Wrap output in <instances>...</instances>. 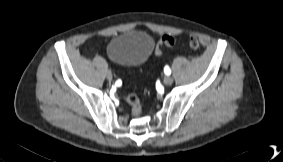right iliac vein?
<instances>
[{"label": "right iliac vein", "mask_w": 283, "mask_h": 162, "mask_svg": "<svg viewBox=\"0 0 283 162\" xmlns=\"http://www.w3.org/2000/svg\"><path fill=\"white\" fill-rule=\"evenodd\" d=\"M106 78H107L109 81L112 80L113 76H112L111 71L108 70V71L106 72Z\"/></svg>", "instance_id": "63e3f726"}]
</instances>
